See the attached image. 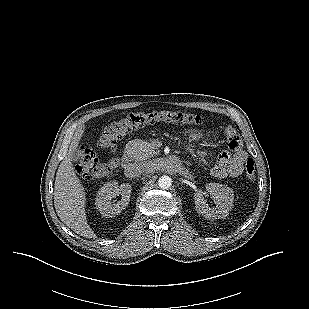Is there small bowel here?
Returning a JSON list of instances; mask_svg holds the SVG:
<instances>
[{"label": "small bowel", "instance_id": "c3829d8e", "mask_svg": "<svg viewBox=\"0 0 309 309\" xmlns=\"http://www.w3.org/2000/svg\"><path fill=\"white\" fill-rule=\"evenodd\" d=\"M225 134L228 140L229 150L223 151L212 168V174L215 177H237L243 171V166L248 158L245 150L241 148V142L238 147H232L230 140L238 137L236 131L230 127L225 128ZM202 137L200 131H193L190 135L192 141H197Z\"/></svg>", "mask_w": 309, "mask_h": 309}]
</instances>
